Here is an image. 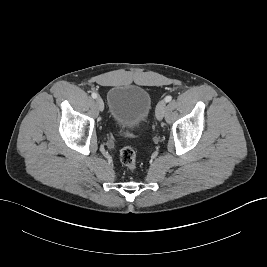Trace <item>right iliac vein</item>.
<instances>
[{
  "label": "right iliac vein",
  "instance_id": "obj_1",
  "mask_svg": "<svg viewBox=\"0 0 267 267\" xmlns=\"http://www.w3.org/2000/svg\"><path fill=\"white\" fill-rule=\"evenodd\" d=\"M96 105H97V107H98V109L100 111H103V109H104V103H103V100L100 97H98L96 99Z\"/></svg>",
  "mask_w": 267,
  "mask_h": 267
}]
</instances>
